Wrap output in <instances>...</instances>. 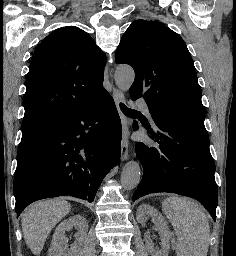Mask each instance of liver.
I'll return each mask as SVG.
<instances>
[{"label":"liver","instance_id":"1","mask_svg":"<svg viewBox=\"0 0 236 256\" xmlns=\"http://www.w3.org/2000/svg\"><path fill=\"white\" fill-rule=\"evenodd\" d=\"M71 210L63 198L36 202L25 210L21 218L24 240L34 256L41 254L52 228Z\"/></svg>","mask_w":236,"mask_h":256}]
</instances>
